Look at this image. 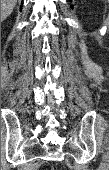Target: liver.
Instances as JSON below:
<instances>
[{"mask_svg":"<svg viewBox=\"0 0 109 170\" xmlns=\"http://www.w3.org/2000/svg\"><path fill=\"white\" fill-rule=\"evenodd\" d=\"M17 0H1V19L5 20L13 11Z\"/></svg>","mask_w":109,"mask_h":170,"instance_id":"liver-1","label":"liver"}]
</instances>
